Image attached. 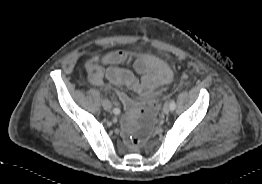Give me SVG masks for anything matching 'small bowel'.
I'll list each match as a JSON object with an SVG mask.
<instances>
[{
  "label": "small bowel",
  "mask_w": 262,
  "mask_h": 184,
  "mask_svg": "<svg viewBox=\"0 0 262 184\" xmlns=\"http://www.w3.org/2000/svg\"><path fill=\"white\" fill-rule=\"evenodd\" d=\"M98 60L107 68H102L95 59L84 64L88 81L94 86H103L106 78L114 86H124L141 95H148L172 79L170 68L156 56L134 57L129 52L116 50L101 54ZM124 63H132L133 71L121 68L120 65Z\"/></svg>",
  "instance_id": "small-bowel-1"
}]
</instances>
